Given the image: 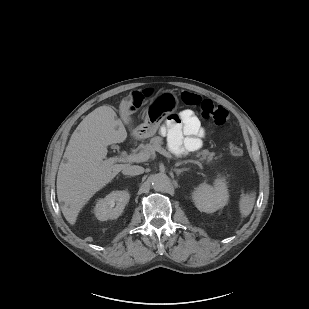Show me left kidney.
<instances>
[{"instance_id": "obj_1", "label": "left kidney", "mask_w": 309, "mask_h": 309, "mask_svg": "<svg viewBox=\"0 0 309 309\" xmlns=\"http://www.w3.org/2000/svg\"><path fill=\"white\" fill-rule=\"evenodd\" d=\"M228 198V189L223 178L216 179L214 186L202 183L192 193L195 206L199 211L206 213H213L223 208Z\"/></svg>"}]
</instances>
